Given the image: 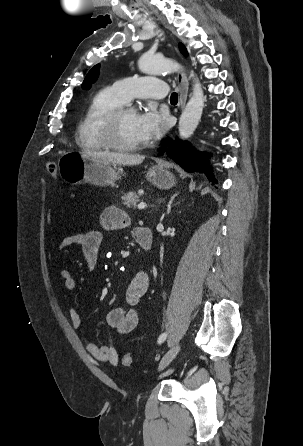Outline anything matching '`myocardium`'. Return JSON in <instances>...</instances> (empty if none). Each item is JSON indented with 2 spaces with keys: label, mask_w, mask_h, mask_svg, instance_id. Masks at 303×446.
Returning <instances> with one entry per match:
<instances>
[{
  "label": "myocardium",
  "mask_w": 303,
  "mask_h": 446,
  "mask_svg": "<svg viewBox=\"0 0 303 446\" xmlns=\"http://www.w3.org/2000/svg\"><path fill=\"white\" fill-rule=\"evenodd\" d=\"M126 110H128L127 107L121 106L112 110L105 116L102 125V136L108 148L121 152H132L141 149L144 144H127L120 141V120Z\"/></svg>",
  "instance_id": "1"
}]
</instances>
